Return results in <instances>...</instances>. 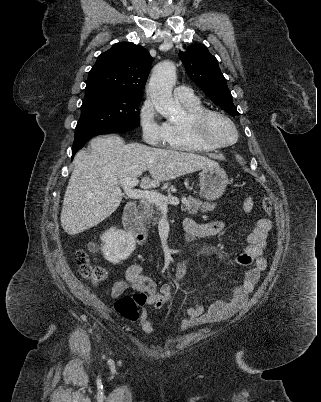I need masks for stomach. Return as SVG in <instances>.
Listing matches in <instances>:
<instances>
[{"label": "stomach", "mask_w": 321, "mask_h": 402, "mask_svg": "<svg viewBox=\"0 0 321 402\" xmlns=\"http://www.w3.org/2000/svg\"><path fill=\"white\" fill-rule=\"evenodd\" d=\"M200 196L207 200L220 198L228 184L226 172L217 167H206L199 173Z\"/></svg>", "instance_id": "stomach-1"}]
</instances>
